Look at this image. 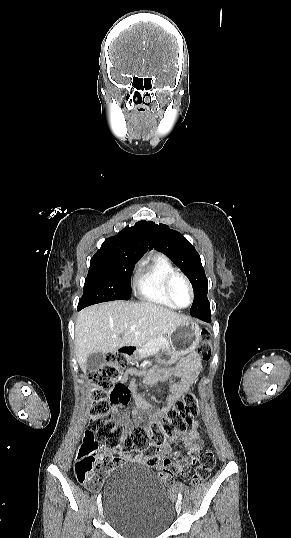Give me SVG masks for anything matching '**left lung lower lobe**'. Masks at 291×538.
<instances>
[{
	"instance_id": "1",
	"label": "left lung lower lobe",
	"mask_w": 291,
	"mask_h": 538,
	"mask_svg": "<svg viewBox=\"0 0 291 538\" xmlns=\"http://www.w3.org/2000/svg\"><path fill=\"white\" fill-rule=\"evenodd\" d=\"M192 316L194 317H197L205 322H210L211 321V311H210V307H203L201 309H198L197 311H194L192 314Z\"/></svg>"
}]
</instances>
